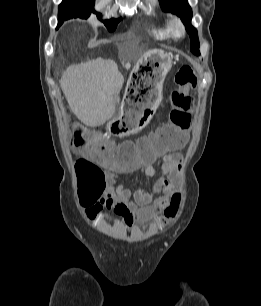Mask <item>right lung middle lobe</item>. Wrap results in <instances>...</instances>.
<instances>
[{
    "mask_svg": "<svg viewBox=\"0 0 261 306\" xmlns=\"http://www.w3.org/2000/svg\"><path fill=\"white\" fill-rule=\"evenodd\" d=\"M94 4L95 0H74L71 2L61 3L59 5L58 25H60L64 19L67 20L76 17L87 19L91 12L96 13L94 10ZM97 16L100 19L101 14L97 13ZM120 21L121 18L110 19L105 20L104 24L111 32L115 30Z\"/></svg>",
    "mask_w": 261,
    "mask_h": 306,
    "instance_id": "right-lung-middle-lobe-1",
    "label": "right lung middle lobe"
}]
</instances>
